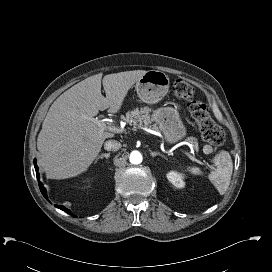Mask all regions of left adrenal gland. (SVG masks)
I'll return each instance as SVG.
<instances>
[{
  "label": "left adrenal gland",
  "instance_id": "1",
  "mask_svg": "<svg viewBox=\"0 0 272 272\" xmlns=\"http://www.w3.org/2000/svg\"><path fill=\"white\" fill-rule=\"evenodd\" d=\"M150 155L152 156V157H155V156H161V157H164V155L163 154H161L160 152H154V151H150Z\"/></svg>",
  "mask_w": 272,
  "mask_h": 272
}]
</instances>
